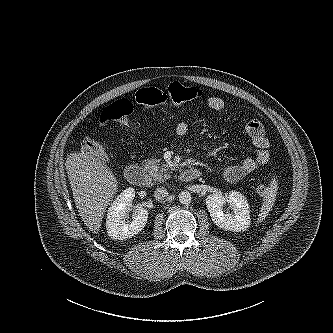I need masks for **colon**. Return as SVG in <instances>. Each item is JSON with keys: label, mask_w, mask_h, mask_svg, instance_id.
Returning <instances> with one entry per match:
<instances>
[{"label": "colon", "mask_w": 333, "mask_h": 333, "mask_svg": "<svg viewBox=\"0 0 333 333\" xmlns=\"http://www.w3.org/2000/svg\"><path fill=\"white\" fill-rule=\"evenodd\" d=\"M202 96V91L195 87L185 86L179 82H173L166 91L155 87H148L139 90L136 94V101L145 107L157 106H179L189 101L196 100ZM133 103L128 99H121L113 104L101 109L96 120L101 125L117 124L121 127H129L130 115L133 112ZM84 148L86 151L95 154H102L100 144L89 136L85 137ZM279 185L274 182H268L257 186L256 191L259 194H266L277 190Z\"/></svg>", "instance_id": "obj_1"}]
</instances>
